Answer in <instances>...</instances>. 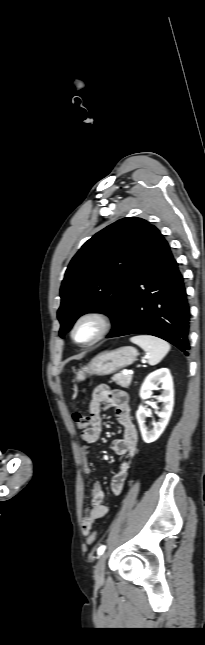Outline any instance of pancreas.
<instances>
[{
  "mask_svg": "<svg viewBox=\"0 0 205 645\" xmlns=\"http://www.w3.org/2000/svg\"><path fill=\"white\" fill-rule=\"evenodd\" d=\"M112 380L116 382V384L120 385L121 387L128 388L132 381V376L129 374L124 375L123 373H118L112 377Z\"/></svg>",
  "mask_w": 205,
  "mask_h": 645,
  "instance_id": "cf45deb5",
  "label": "pancreas"
}]
</instances>
